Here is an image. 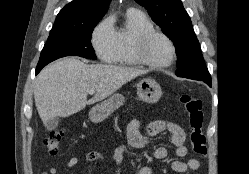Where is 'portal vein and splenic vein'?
Returning a JSON list of instances; mask_svg holds the SVG:
<instances>
[{
  "label": "portal vein and splenic vein",
  "instance_id": "18ae733b",
  "mask_svg": "<svg viewBox=\"0 0 249 174\" xmlns=\"http://www.w3.org/2000/svg\"><path fill=\"white\" fill-rule=\"evenodd\" d=\"M94 93H95V90L89 91V94H90V95H92V94H94Z\"/></svg>",
  "mask_w": 249,
  "mask_h": 174
}]
</instances>
